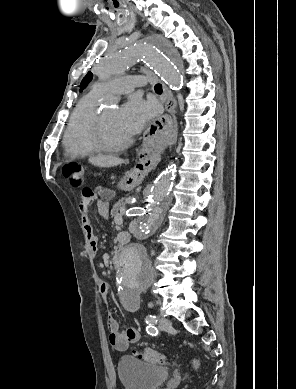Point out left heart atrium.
Instances as JSON below:
<instances>
[{"label":"left heart atrium","instance_id":"left-heart-atrium-1","mask_svg":"<svg viewBox=\"0 0 296 389\" xmlns=\"http://www.w3.org/2000/svg\"><path fill=\"white\" fill-rule=\"evenodd\" d=\"M155 114L153 104L139 97H132L118 111V121L122 130L131 137L139 133Z\"/></svg>","mask_w":296,"mask_h":389}]
</instances>
